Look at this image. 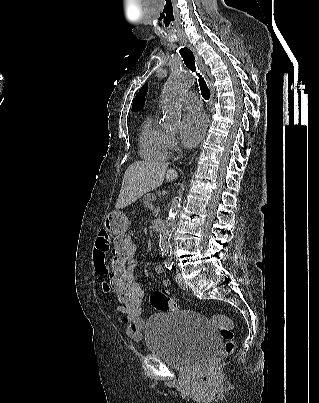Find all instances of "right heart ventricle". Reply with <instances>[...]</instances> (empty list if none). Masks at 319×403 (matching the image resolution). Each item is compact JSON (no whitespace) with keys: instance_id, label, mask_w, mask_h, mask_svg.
<instances>
[{"instance_id":"obj_1","label":"right heart ventricle","mask_w":319,"mask_h":403,"mask_svg":"<svg viewBox=\"0 0 319 403\" xmlns=\"http://www.w3.org/2000/svg\"><path fill=\"white\" fill-rule=\"evenodd\" d=\"M140 154L147 160H163L168 156V133L153 116L146 117L140 127Z\"/></svg>"}]
</instances>
